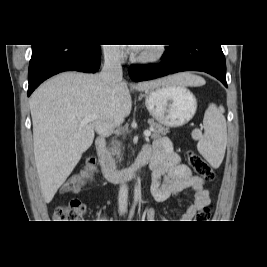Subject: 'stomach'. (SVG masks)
<instances>
[{"label":"stomach","mask_w":267,"mask_h":267,"mask_svg":"<svg viewBox=\"0 0 267 267\" xmlns=\"http://www.w3.org/2000/svg\"><path fill=\"white\" fill-rule=\"evenodd\" d=\"M145 105L159 123L179 127L189 122L196 113L197 100L185 86L164 84L146 91Z\"/></svg>","instance_id":"obj_1"}]
</instances>
